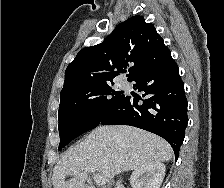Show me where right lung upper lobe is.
Masks as SVG:
<instances>
[{"instance_id": "obj_1", "label": "right lung upper lobe", "mask_w": 224, "mask_h": 188, "mask_svg": "<svg viewBox=\"0 0 224 188\" xmlns=\"http://www.w3.org/2000/svg\"><path fill=\"white\" fill-rule=\"evenodd\" d=\"M169 53L154 25L133 16L118 24L102 43L79 51L66 68L61 92L113 83L129 65L131 80Z\"/></svg>"}]
</instances>
